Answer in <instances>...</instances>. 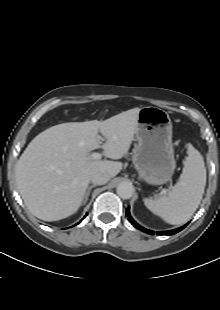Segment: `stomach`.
<instances>
[{"mask_svg": "<svg viewBox=\"0 0 220 310\" xmlns=\"http://www.w3.org/2000/svg\"><path fill=\"white\" fill-rule=\"evenodd\" d=\"M137 121L133 164L148 184H164L172 178L176 167L171 119L163 109L148 106L140 109Z\"/></svg>", "mask_w": 220, "mask_h": 310, "instance_id": "0dacf381", "label": "stomach"}]
</instances>
